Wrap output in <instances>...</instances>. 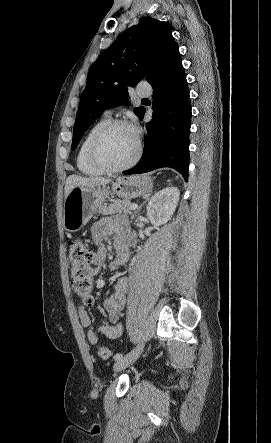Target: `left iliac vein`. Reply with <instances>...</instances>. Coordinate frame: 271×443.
<instances>
[{"instance_id": "obj_1", "label": "left iliac vein", "mask_w": 271, "mask_h": 443, "mask_svg": "<svg viewBox=\"0 0 271 443\" xmlns=\"http://www.w3.org/2000/svg\"><path fill=\"white\" fill-rule=\"evenodd\" d=\"M144 349V343L138 344L132 351H130L126 356H124L122 359L117 360L113 366V370L115 372H119L131 364H133L141 355L142 351Z\"/></svg>"}]
</instances>
